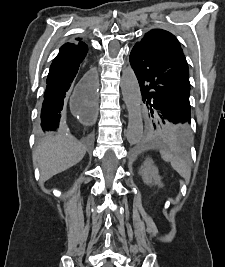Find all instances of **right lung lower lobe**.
I'll return each instance as SVG.
<instances>
[{
    "instance_id": "1",
    "label": "right lung lower lobe",
    "mask_w": 225,
    "mask_h": 267,
    "mask_svg": "<svg viewBox=\"0 0 225 267\" xmlns=\"http://www.w3.org/2000/svg\"><path fill=\"white\" fill-rule=\"evenodd\" d=\"M87 45L65 43L54 58L46 80L47 86L41 109V135L55 134L62 129L61 112L64 101L87 60ZM89 75H86V78ZM94 82L90 81L88 99L94 100Z\"/></svg>"
}]
</instances>
